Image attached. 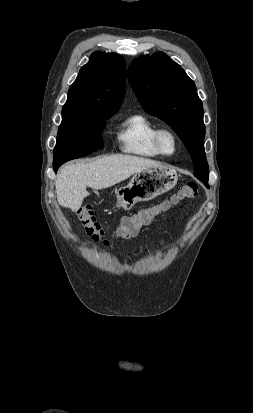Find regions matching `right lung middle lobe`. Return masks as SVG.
<instances>
[{"label": "right lung middle lobe", "instance_id": "obj_1", "mask_svg": "<svg viewBox=\"0 0 253 413\" xmlns=\"http://www.w3.org/2000/svg\"><path fill=\"white\" fill-rule=\"evenodd\" d=\"M114 113L90 118L64 119L59 126L53 165L83 157L103 148L102 131Z\"/></svg>", "mask_w": 253, "mask_h": 413}]
</instances>
